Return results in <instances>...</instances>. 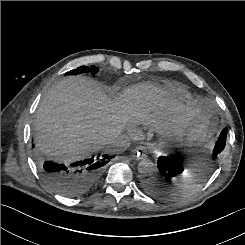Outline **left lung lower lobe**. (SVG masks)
<instances>
[{"instance_id": "0a47b994", "label": "left lung lower lobe", "mask_w": 245, "mask_h": 245, "mask_svg": "<svg viewBox=\"0 0 245 245\" xmlns=\"http://www.w3.org/2000/svg\"><path fill=\"white\" fill-rule=\"evenodd\" d=\"M227 128L221 132L218 141L215 144L212 158L220 154L226 143ZM158 175H153L143 181L145 191L153 196L161 197L166 191L163 189V183H173L180 180L184 171L183 162L176 156H160L157 161Z\"/></svg>"}]
</instances>
